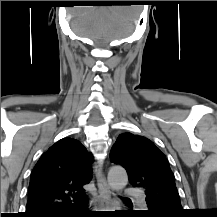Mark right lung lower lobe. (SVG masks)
<instances>
[{"label": "right lung lower lobe", "mask_w": 217, "mask_h": 217, "mask_svg": "<svg viewBox=\"0 0 217 217\" xmlns=\"http://www.w3.org/2000/svg\"><path fill=\"white\" fill-rule=\"evenodd\" d=\"M80 206L75 208V212L65 211L60 214L54 215L53 217H86L89 214L86 213V211H80Z\"/></svg>", "instance_id": "1"}]
</instances>
